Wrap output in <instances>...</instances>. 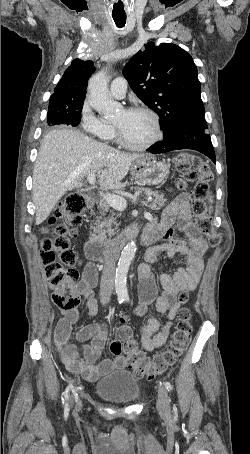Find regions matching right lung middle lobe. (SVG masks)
<instances>
[{
  "label": "right lung middle lobe",
  "instance_id": "1",
  "mask_svg": "<svg viewBox=\"0 0 250 454\" xmlns=\"http://www.w3.org/2000/svg\"><path fill=\"white\" fill-rule=\"evenodd\" d=\"M83 99L72 101L64 98H50L47 113V123L49 126L66 124L77 126L81 120V110Z\"/></svg>",
  "mask_w": 250,
  "mask_h": 454
}]
</instances>
